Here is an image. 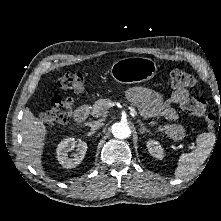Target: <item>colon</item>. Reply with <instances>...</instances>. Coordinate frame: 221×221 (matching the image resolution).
Here are the masks:
<instances>
[{
  "label": "colon",
  "mask_w": 221,
  "mask_h": 221,
  "mask_svg": "<svg viewBox=\"0 0 221 221\" xmlns=\"http://www.w3.org/2000/svg\"><path fill=\"white\" fill-rule=\"evenodd\" d=\"M170 82L174 89H186L194 86L196 81L194 76L186 71L174 69L170 72ZM57 85L62 89H70L80 93L84 89V76L76 70L69 69L61 75ZM181 107L192 116L205 117L209 125L214 122V116L207 113L208 102L205 97H192L186 100ZM72 110L73 100L71 98L56 95L51 98V107L43 114V119L49 125L65 124L70 121Z\"/></svg>",
  "instance_id": "5ec220e1"
}]
</instances>
